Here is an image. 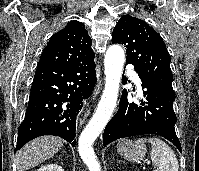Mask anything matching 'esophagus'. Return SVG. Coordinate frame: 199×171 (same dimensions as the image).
<instances>
[{
	"label": "esophagus",
	"mask_w": 199,
	"mask_h": 171,
	"mask_svg": "<svg viewBox=\"0 0 199 171\" xmlns=\"http://www.w3.org/2000/svg\"><path fill=\"white\" fill-rule=\"evenodd\" d=\"M101 82L98 84V86H97V88H96V90H95V92H94V97L100 92V89H101Z\"/></svg>",
	"instance_id": "esophagus-1"
}]
</instances>
